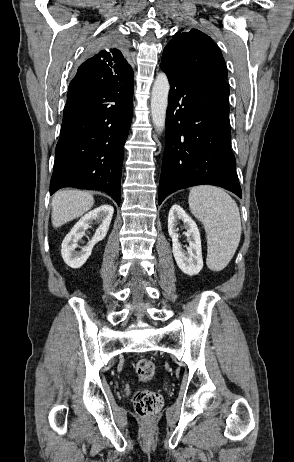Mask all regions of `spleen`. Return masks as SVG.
<instances>
[{
  "instance_id": "obj_1",
  "label": "spleen",
  "mask_w": 294,
  "mask_h": 462,
  "mask_svg": "<svg viewBox=\"0 0 294 462\" xmlns=\"http://www.w3.org/2000/svg\"><path fill=\"white\" fill-rule=\"evenodd\" d=\"M188 202L207 234V265L220 271L228 265L240 241L238 206L224 190L209 185L193 187Z\"/></svg>"
}]
</instances>
